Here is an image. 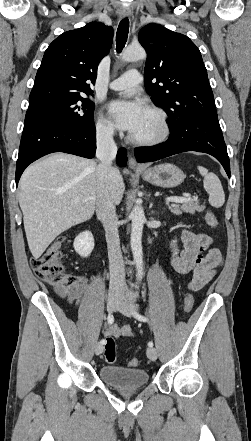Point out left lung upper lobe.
Segmentation results:
<instances>
[{
	"instance_id": "1",
	"label": "left lung upper lobe",
	"mask_w": 251,
	"mask_h": 441,
	"mask_svg": "<svg viewBox=\"0 0 251 441\" xmlns=\"http://www.w3.org/2000/svg\"><path fill=\"white\" fill-rule=\"evenodd\" d=\"M138 39L147 52L145 88L167 113L170 129L188 117L217 115L201 53L187 36L149 24Z\"/></svg>"
}]
</instances>
